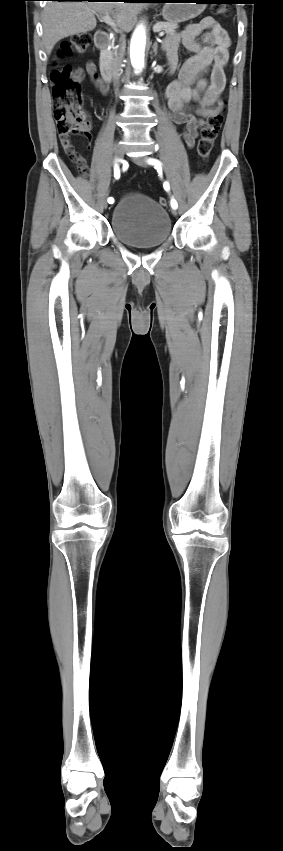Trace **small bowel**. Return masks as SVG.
I'll return each mask as SVG.
<instances>
[{
	"instance_id": "c3829d8e",
	"label": "small bowel",
	"mask_w": 283,
	"mask_h": 851,
	"mask_svg": "<svg viewBox=\"0 0 283 851\" xmlns=\"http://www.w3.org/2000/svg\"><path fill=\"white\" fill-rule=\"evenodd\" d=\"M180 46L194 55L182 65L178 79L167 86L165 97L170 120L182 129L186 145L192 148L204 119L213 114L217 104L221 103L220 95L226 82L224 69L229 60L230 38L226 30L212 17H205L188 25L182 32L167 37L164 42L171 71L176 68ZM207 73L208 77L205 76ZM85 74L90 76L98 93H109L110 86L97 72L95 63L87 62L84 68L75 71L73 77L80 82ZM60 141L72 161L79 156L86 167L85 159L76 152L70 139L60 138Z\"/></svg>"
}]
</instances>
